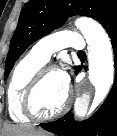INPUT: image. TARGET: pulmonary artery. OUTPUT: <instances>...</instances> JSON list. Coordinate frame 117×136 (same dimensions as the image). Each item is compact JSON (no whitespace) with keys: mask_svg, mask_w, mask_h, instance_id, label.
Returning a JSON list of instances; mask_svg holds the SVG:
<instances>
[{"mask_svg":"<svg viewBox=\"0 0 117 136\" xmlns=\"http://www.w3.org/2000/svg\"><path fill=\"white\" fill-rule=\"evenodd\" d=\"M67 47L83 50L85 47L83 37L70 30L55 32L37 41L31 52L42 61L48 62L55 52Z\"/></svg>","mask_w":117,"mask_h":136,"instance_id":"e3ab8cb5","label":"pulmonary artery"}]
</instances>
